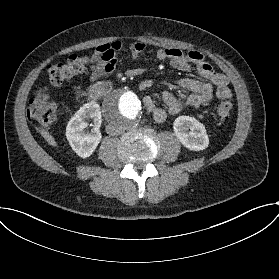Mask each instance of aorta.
Listing matches in <instances>:
<instances>
[{
	"mask_svg": "<svg viewBox=\"0 0 279 279\" xmlns=\"http://www.w3.org/2000/svg\"><path fill=\"white\" fill-rule=\"evenodd\" d=\"M142 104L138 96L126 89L117 88L103 101V112L109 124L129 129L138 123Z\"/></svg>",
	"mask_w": 279,
	"mask_h": 279,
	"instance_id": "aorta-1",
	"label": "aorta"
}]
</instances>
